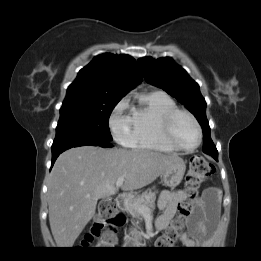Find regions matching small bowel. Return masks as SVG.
Wrapping results in <instances>:
<instances>
[{
    "instance_id": "c3829d8e",
    "label": "small bowel",
    "mask_w": 261,
    "mask_h": 261,
    "mask_svg": "<svg viewBox=\"0 0 261 261\" xmlns=\"http://www.w3.org/2000/svg\"><path fill=\"white\" fill-rule=\"evenodd\" d=\"M186 195L182 190H166L160 194L158 206L161 211L155 221V227L165 229L176 214L178 205L184 202ZM220 194L216 188H208L202 197L195 202V207L189 218L192 235L182 233L180 240L184 247L193 249L199 247L209 228H215L219 218Z\"/></svg>"
}]
</instances>
